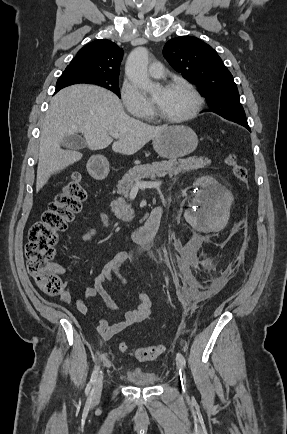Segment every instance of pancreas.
<instances>
[{
	"label": "pancreas",
	"instance_id": "1",
	"mask_svg": "<svg viewBox=\"0 0 287 434\" xmlns=\"http://www.w3.org/2000/svg\"><path fill=\"white\" fill-rule=\"evenodd\" d=\"M211 163V160L204 157H189L186 159H171L169 161L153 162L135 166L130 169L118 182L117 193L119 197L111 204L115 216L123 221H130L134 218V210L128 204L125 198H128L130 189L136 181L144 178L154 180L156 177L169 174V176L178 175L181 172L204 168Z\"/></svg>",
	"mask_w": 287,
	"mask_h": 434
}]
</instances>
